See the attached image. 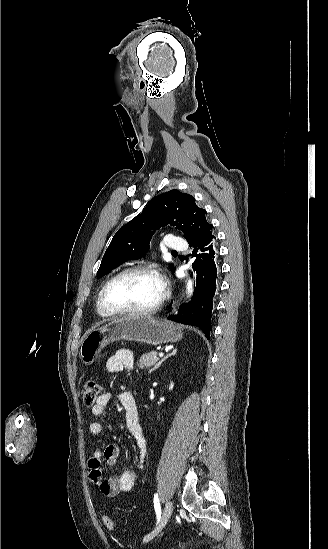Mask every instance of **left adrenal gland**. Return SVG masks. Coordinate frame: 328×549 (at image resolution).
I'll use <instances>...</instances> for the list:
<instances>
[{"label":"left adrenal gland","instance_id":"obj_1","mask_svg":"<svg viewBox=\"0 0 328 549\" xmlns=\"http://www.w3.org/2000/svg\"><path fill=\"white\" fill-rule=\"evenodd\" d=\"M177 353V349H173L172 353H170V355H167V357H164V359H162V361H160V363H158V367H160L161 363H163V361H165V359H168V357H171V355H176ZM158 367H154V369H158Z\"/></svg>","mask_w":328,"mask_h":549}]
</instances>
